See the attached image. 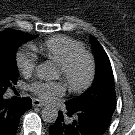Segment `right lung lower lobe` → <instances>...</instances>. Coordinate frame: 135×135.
Instances as JSON below:
<instances>
[{
  "label": "right lung lower lobe",
  "instance_id": "98d812e1",
  "mask_svg": "<svg viewBox=\"0 0 135 135\" xmlns=\"http://www.w3.org/2000/svg\"><path fill=\"white\" fill-rule=\"evenodd\" d=\"M31 107L29 97L12 101L0 94V135H15L21 115Z\"/></svg>",
  "mask_w": 135,
  "mask_h": 135
}]
</instances>
